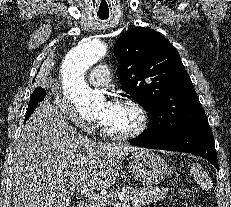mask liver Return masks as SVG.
<instances>
[{
	"label": "liver",
	"mask_w": 231,
	"mask_h": 207,
	"mask_svg": "<svg viewBox=\"0 0 231 207\" xmlns=\"http://www.w3.org/2000/svg\"><path fill=\"white\" fill-rule=\"evenodd\" d=\"M138 150L84 138L57 107L44 101L26 122L14 149L13 206L68 207L73 189L111 187L119 176L121 160Z\"/></svg>",
	"instance_id": "1"
}]
</instances>
